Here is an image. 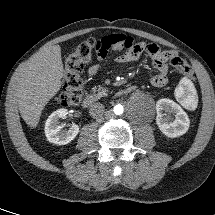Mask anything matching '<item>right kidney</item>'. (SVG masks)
Instances as JSON below:
<instances>
[{
	"label": "right kidney",
	"mask_w": 215,
	"mask_h": 215,
	"mask_svg": "<svg viewBox=\"0 0 215 215\" xmlns=\"http://www.w3.org/2000/svg\"><path fill=\"white\" fill-rule=\"evenodd\" d=\"M66 114V109H58L46 120L45 135L49 142L57 145H65L74 140L79 133V127L76 124H72L68 130H62L63 125H61L59 120L64 118Z\"/></svg>",
	"instance_id": "1"
}]
</instances>
